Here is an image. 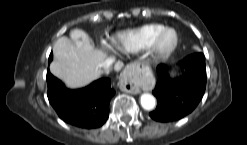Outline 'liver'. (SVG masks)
Masks as SVG:
<instances>
[{"label": "liver", "instance_id": "obj_1", "mask_svg": "<svg viewBox=\"0 0 247 145\" xmlns=\"http://www.w3.org/2000/svg\"><path fill=\"white\" fill-rule=\"evenodd\" d=\"M70 37L63 36L54 44V61L50 71L67 88L78 89L100 77V64L106 60L107 54L95 49L89 36L82 30L71 31Z\"/></svg>", "mask_w": 247, "mask_h": 145}]
</instances>
